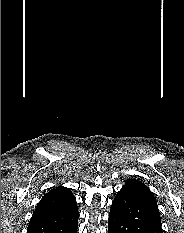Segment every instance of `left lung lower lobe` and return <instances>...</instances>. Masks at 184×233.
Wrapping results in <instances>:
<instances>
[{"label":"left lung lower lobe","mask_w":184,"mask_h":233,"mask_svg":"<svg viewBox=\"0 0 184 233\" xmlns=\"http://www.w3.org/2000/svg\"><path fill=\"white\" fill-rule=\"evenodd\" d=\"M108 233H163L151 209L125 191H119L111 205Z\"/></svg>","instance_id":"1"}]
</instances>
